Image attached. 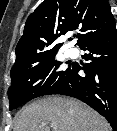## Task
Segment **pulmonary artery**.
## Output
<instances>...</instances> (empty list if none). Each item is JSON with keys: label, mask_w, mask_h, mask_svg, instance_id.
<instances>
[{"label": "pulmonary artery", "mask_w": 117, "mask_h": 131, "mask_svg": "<svg viewBox=\"0 0 117 131\" xmlns=\"http://www.w3.org/2000/svg\"><path fill=\"white\" fill-rule=\"evenodd\" d=\"M68 55L69 56H73V52L72 51H68Z\"/></svg>", "instance_id": "1"}]
</instances>
